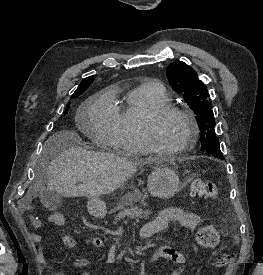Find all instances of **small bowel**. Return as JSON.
I'll list each match as a JSON object with an SVG mask.
<instances>
[{
    "mask_svg": "<svg viewBox=\"0 0 263 275\" xmlns=\"http://www.w3.org/2000/svg\"><path fill=\"white\" fill-rule=\"evenodd\" d=\"M173 222L178 223L180 226L189 231H195L201 223V217L196 213L188 212L182 208L163 209L159 211L158 214L151 221L147 222L141 228L140 235L143 238H149L154 234L166 230ZM54 224L57 226H62L64 224L63 217L60 223ZM32 225L35 228H40L42 227V222L38 219H33ZM33 240L38 245L37 261L42 264L45 269L48 270L52 275H64L63 272L56 271L52 264L46 262L44 258L42 237L39 234H34ZM89 242L98 249L102 248L104 245L103 240L98 236L90 237ZM62 243L70 249L75 248L77 245L76 240L68 234L62 236ZM156 256L160 259H166L174 262L176 264V268L172 271L171 275H181L186 263L185 256L181 252L164 245L156 250ZM75 266L78 270H80L79 275H92L90 272L84 270L89 266V263L87 261L79 260L75 263Z\"/></svg>",
    "mask_w": 263,
    "mask_h": 275,
    "instance_id": "1",
    "label": "small bowel"
}]
</instances>
